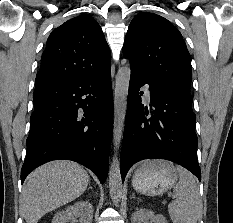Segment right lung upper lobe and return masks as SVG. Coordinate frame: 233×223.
Wrapping results in <instances>:
<instances>
[{
    "instance_id": "cb5924a9",
    "label": "right lung upper lobe",
    "mask_w": 233,
    "mask_h": 223,
    "mask_svg": "<svg viewBox=\"0 0 233 223\" xmlns=\"http://www.w3.org/2000/svg\"><path fill=\"white\" fill-rule=\"evenodd\" d=\"M110 67V50L101 27L90 16H77L48 37L36 87L92 76Z\"/></svg>"
}]
</instances>
